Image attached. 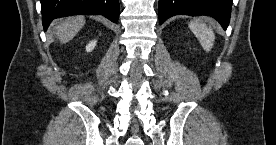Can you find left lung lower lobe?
<instances>
[{
    "label": "left lung lower lobe",
    "instance_id": "left-lung-lower-lobe-1",
    "mask_svg": "<svg viewBox=\"0 0 276 145\" xmlns=\"http://www.w3.org/2000/svg\"><path fill=\"white\" fill-rule=\"evenodd\" d=\"M232 0H159V23L174 15H208L227 29L231 16Z\"/></svg>",
    "mask_w": 276,
    "mask_h": 145
}]
</instances>
